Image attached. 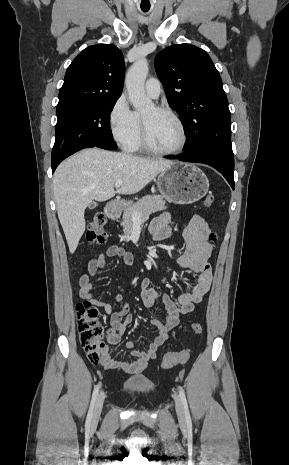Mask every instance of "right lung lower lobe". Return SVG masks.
<instances>
[{"mask_svg":"<svg viewBox=\"0 0 289 465\" xmlns=\"http://www.w3.org/2000/svg\"><path fill=\"white\" fill-rule=\"evenodd\" d=\"M91 147H96V146H91ZM86 148H90V147H86ZM60 162L61 161H56L52 163V173L55 171L56 167L59 165Z\"/></svg>","mask_w":289,"mask_h":465,"instance_id":"98d812e1","label":"right lung lower lobe"}]
</instances>
